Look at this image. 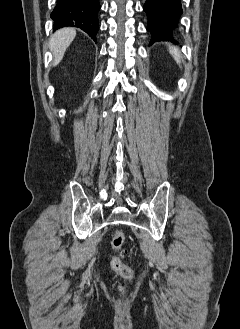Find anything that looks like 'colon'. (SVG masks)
Listing matches in <instances>:
<instances>
[{
  "label": "colon",
  "instance_id": "1",
  "mask_svg": "<svg viewBox=\"0 0 240 329\" xmlns=\"http://www.w3.org/2000/svg\"><path fill=\"white\" fill-rule=\"evenodd\" d=\"M125 241V236L122 231H116L111 240V246L114 251L110 258V265L113 270L118 272L124 279L129 280L132 278V269L130 266L122 261V256L126 254L125 250H122Z\"/></svg>",
  "mask_w": 240,
  "mask_h": 329
}]
</instances>
